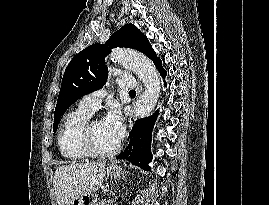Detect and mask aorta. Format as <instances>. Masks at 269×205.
Instances as JSON below:
<instances>
[{"mask_svg":"<svg viewBox=\"0 0 269 205\" xmlns=\"http://www.w3.org/2000/svg\"><path fill=\"white\" fill-rule=\"evenodd\" d=\"M109 58L134 72L145 86L142 96L135 104V117L143 118L150 114L156 106L161 90L160 78L154 64L142 53L128 49H117Z\"/></svg>","mask_w":269,"mask_h":205,"instance_id":"1","label":"aorta"}]
</instances>
